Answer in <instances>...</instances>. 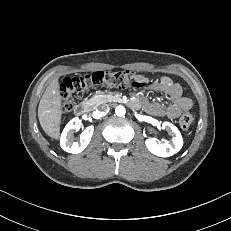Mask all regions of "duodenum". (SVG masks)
I'll use <instances>...</instances> for the list:
<instances>
[{
  "instance_id": "1",
  "label": "duodenum",
  "mask_w": 231,
  "mask_h": 231,
  "mask_svg": "<svg viewBox=\"0 0 231 231\" xmlns=\"http://www.w3.org/2000/svg\"><path fill=\"white\" fill-rule=\"evenodd\" d=\"M132 104V102H130ZM92 107L89 104H79L75 107L74 113L78 117H82L91 111Z\"/></svg>"
}]
</instances>
